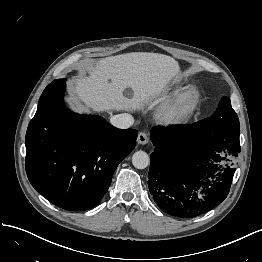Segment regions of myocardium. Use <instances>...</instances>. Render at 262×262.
I'll list each match as a JSON object with an SVG mask.
<instances>
[{"label": "myocardium", "mask_w": 262, "mask_h": 262, "mask_svg": "<svg viewBox=\"0 0 262 262\" xmlns=\"http://www.w3.org/2000/svg\"><path fill=\"white\" fill-rule=\"evenodd\" d=\"M200 100V91L195 86H187L166 104L160 112V121L165 125L187 122L194 114Z\"/></svg>", "instance_id": "1"}]
</instances>
